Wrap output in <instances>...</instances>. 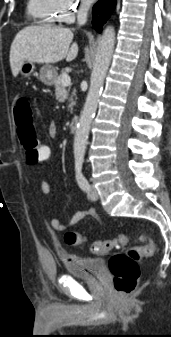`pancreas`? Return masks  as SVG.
Returning <instances> with one entry per match:
<instances>
[{
  "label": "pancreas",
  "instance_id": "cf45deb5",
  "mask_svg": "<svg viewBox=\"0 0 171 337\" xmlns=\"http://www.w3.org/2000/svg\"><path fill=\"white\" fill-rule=\"evenodd\" d=\"M67 75L66 73H62L59 75L55 81V94L56 98L60 101L63 102L65 99L68 98V91L66 90L65 86L62 84V78ZM70 111L72 112V106L74 105L72 98H70Z\"/></svg>",
  "mask_w": 171,
  "mask_h": 337
}]
</instances>
